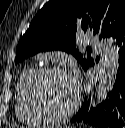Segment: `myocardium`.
<instances>
[{"instance_id": "1", "label": "myocardium", "mask_w": 125, "mask_h": 128, "mask_svg": "<svg viewBox=\"0 0 125 128\" xmlns=\"http://www.w3.org/2000/svg\"><path fill=\"white\" fill-rule=\"evenodd\" d=\"M51 75H67L68 76L66 71L59 67L47 66V67H42L40 69H37L30 76L26 84V96H27L30 107L37 114L39 118L43 119L45 122H59L68 118L69 116H71L76 112V110L80 105L81 95L79 90H77L76 97L73 104L65 111L52 113L46 110L41 104V102L39 101L36 94V90H37L38 84L44 78Z\"/></svg>"}]
</instances>
